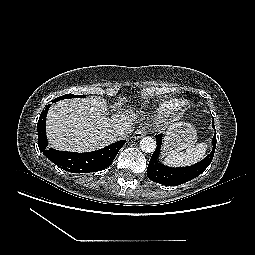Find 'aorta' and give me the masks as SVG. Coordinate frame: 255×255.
Returning <instances> with one entry per match:
<instances>
[{"mask_svg": "<svg viewBox=\"0 0 255 255\" xmlns=\"http://www.w3.org/2000/svg\"><path fill=\"white\" fill-rule=\"evenodd\" d=\"M156 146H157L156 141L150 136L143 137L140 140V148L145 153L154 152L156 149Z\"/></svg>", "mask_w": 255, "mask_h": 255, "instance_id": "1", "label": "aorta"}]
</instances>
